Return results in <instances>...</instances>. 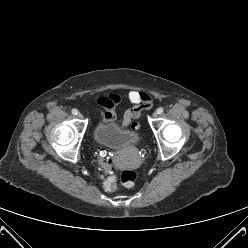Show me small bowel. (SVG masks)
Wrapping results in <instances>:
<instances>
[{
    "label": "small bowel",
    "instance_id": "small-bowel-1",
    "mask_svg": "<svg viewBox=\"0 0 248 248\" xmlns=\"http://www.w3.org/2000/svg\"><path fill=\"white\" fill-rule=\"evenodd\" d=\"M129 100L133 104L131 110L126 111L119 120V123L123 127H127L131 124L132 120L136 118L140 110L144 107L146 110H153L155 108V101L150 99V96L142 91H130L128 94ZM118 98L114 95L101 97L97 100V105L103 110L100 112V116L103 122H112L116 120L115 106L118 103ZM136 128V125H133Z\"/></svg>",
    "mask_w": 248,
    "mask_h": 248
}]
</instances>
